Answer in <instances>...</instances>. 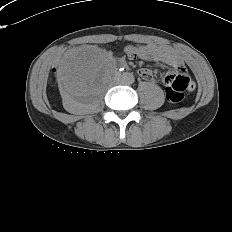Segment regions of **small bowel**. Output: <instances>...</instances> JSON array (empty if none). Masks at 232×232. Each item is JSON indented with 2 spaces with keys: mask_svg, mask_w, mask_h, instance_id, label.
I'll list each match as a JSON object with an SVG mask.
<instances>
[{
  "mask_svg": "<svg viewBox=\"0 0 232 232\" xmlns=\"http://www.w3.org/2000/svg\"><path fill=\"white\" fill-rule=\"evenodd\" d=\"M130 55H138L143 60L156 61L171 66L175 69L176 75L187 76L184 61L179 53L171 46L155 43L139 44L128 46L126 49ZM141 78L147 81L153 80L152 72L149 69L142 68L139 70ZM190 86L188 90H193L195 84L189 79Z\"/></svg>",
  "mask_w": 232,
  "mask_h": 232,
  "instance_id": "small-bowel-1",
  "label": "small bowel"
}]
</instances>
